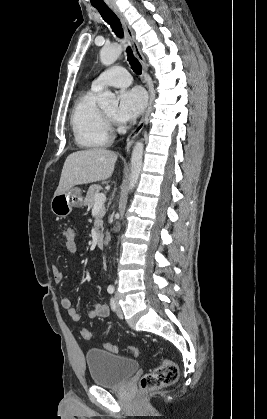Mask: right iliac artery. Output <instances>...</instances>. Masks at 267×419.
I'll return each mask as SVG.
<instances>
[{
    "label": "right iliac artery",
    "mask_w": 267,
    "mask_h": 419,
    "mask_svg": "<svg viewBox=\"0 0 267 419\" xmlns=\"http://www.w3.org/2000/svg\"><path fill=\"white\" fill-rule=\"evenodd\" d=\"M108 293L112 294L114 292V287L113 286H109L107 288Z\"/></svg>",
    "instance_id": "82829eb1"
}]
</instances>
